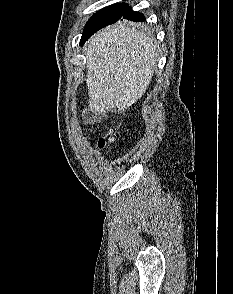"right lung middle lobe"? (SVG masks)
<instances>
[{
	"label": "right lung middle lobe",
	"instance_id": "dd1d6c3e",
	"mask_svg": "<svg viewBox=\"0 0 233 294\" xmlns=\"http://www.w3.org/2000/svg\"><path fill=\"white\" fill-rule=\"evenodd\" d=\"M128 4L126 3H117L111 6H108L104 9H101L95 13L87 22L84 32L89 31L96 26H99L104 23L116 22L121 18L124 12L127 10Z\"/></svg>",
	"mask_w": 233,
	"mask_h": 294
}]
</instances>
